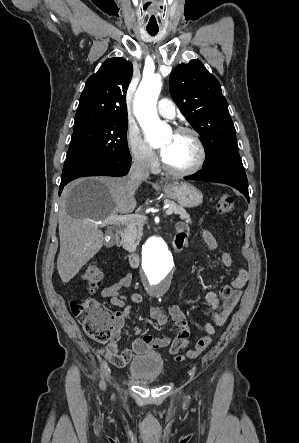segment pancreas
<instances>
[{
	"label": "pancreas",
	"instance_id": "pancreas-1",
	"mask_svg": "<svg viewBox=\"0 0 299 443\" xmlns=\"http://www.w3.org/2000/svg\"><path fill=\"white\" fill-rule=\"evenodd\" d=\"M164 204H168L169 209H171L175 214H179L182 220H185L187 223H191L189 214H187L186 210L182 206L169 199H165ZM145 222V219H137L131 224H128L124 230L122 234V244L127 251L134 252L136 250V247L138 246L143 235L142 230Z\"/></svg>",
	"mask_w": 299,
	"mask_h": 443
}]
</instances>
